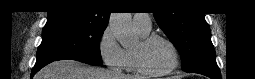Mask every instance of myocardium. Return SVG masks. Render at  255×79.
<instances>
[{
    "instance_id": "f54148a6",
    "label": "myocardium",
    "mask_w": 255,
    "mask_h": 79,
    "mask_svg": "<svg viewBox=\"0 0 255 79\" xmlns=\"http://www.w3.org/2000/svg\"><path fill=\"white\" fill-rule=\"evenodd\" d=\"M156 39H160L166 42L168 46L170 47L172 51V56H173L172 63L170 64V66L167 69L162 71H152L149 68H147L143 58V49ZM133 54H134V61H135V66L137 71L147 76L167 75L173 72L178 67L180 62V53L175 43L171 39L166 37L165 35L158 34V33L148 34L147 36L143 37L139 43V46L134 48Z\"/></svg>"
}]
</instances>
